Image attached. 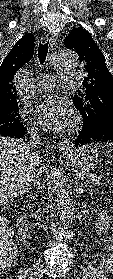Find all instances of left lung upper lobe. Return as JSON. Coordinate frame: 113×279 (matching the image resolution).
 <instances>
[{
  "label": "left lung upper lobe",
  "instance_id": "left-lung-upper-lobe-1",
  "mask_svg": "<svg viewBox=\"0 0 113 279\" xmlns=\"http://www.w3.org/2000/svg\"><path fill=\"white\" fill-rule=\"evenodd\" d=\"M64 45L78 53L79 69L84 73L83 88L74 95V105L83 106L88 116L107 108L113 112V77L91 34L82 27L75 28L64 40Z\"/></svg>",
  "mask_w": 113,
  "mask_h": 279
}]
</instances>
